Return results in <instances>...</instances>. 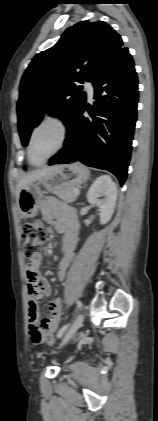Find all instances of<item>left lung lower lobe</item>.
I'll list each match as a JSON object with an SVG mask.
<instances>
[{
    "label": "left lung lower lobe",
    "mask_w": 158,
    "mask_h": 421,
    "mask_svg": "<svg viewBox=\"0 0 158 421\" xmlns=\"http://www.w3.org/2000/svg\"><path fill=\"white\" fill-rule=\"evenodd\" d=\"M94 108L85 103L70 124L64 148L49 165L80 161L126 180L137 119L138 80L128 48L122 46L95 78ZM89 110L91 119L83 116Z\"/></svg>",
    "instance_id": "obj_1"
}]
</instances>
